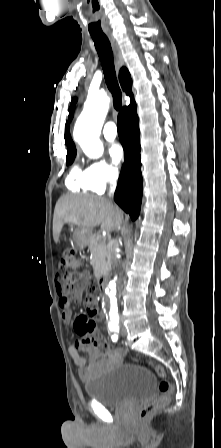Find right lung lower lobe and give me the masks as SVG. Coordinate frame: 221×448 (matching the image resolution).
Returning a JSON list of instances; mask_svg holds the SVG:
<instances>
[{
	"mask_svg": "<svg viewBox=\"0 0 221 448\" xmlns=\"http://www.w3.org/2000/svg\"><path fill=\"white\" fill-rule=\"evenodd\" d=\"M118 133L124 149V164L114 194L116 203L135 220L142 201L140 131L136 104L130 102L118 115Z\"/></svg>",
	"mask_w": 221,
	"mask_h": 448,
	"instance_id": "right-lung-lower-lobe-1",
	"label": "right lung lower lobe"
}]
</instances>
